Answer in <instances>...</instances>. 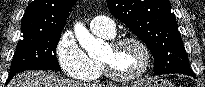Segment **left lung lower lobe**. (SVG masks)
Here are the masks:
<instances>
[{
    "mask_svg": "<svg viewBox=\"0 0 205 87\" xmlns=\"http://www.w3.org/2000/svg\"><path fill=\"white\" fill-rule=\"evenodd\" d=\"M182 74L189 75V76H192V77L196 78V76H195V74L193 73L192 70L186 71V72H184V73H182Z\"/></svg>",
    "mask_w": 205,
    "mask_h": 87,
    "instance_id": "0a47b994",
    "label": "left lung lower lobe"
}]
</instances>
